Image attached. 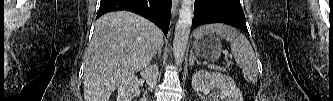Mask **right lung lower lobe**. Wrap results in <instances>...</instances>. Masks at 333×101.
I'll list each match as a JSON object with an SVG mask.
<instances>
[{
  "instance_id": "obj_1",
  "label": "right lung lower lobe",
  "mask_w": 333,
  "mask_h": 101,
  "mask_svg": "<svg viewBox=\"0 0 333 101\" xmlns=\"http://www.w3.org/2000/svg\"><path fill=\"white\" fill-rule=\"evenodd\" d=\"M125 10L139 14L156 24L167 36L171 0H101L97 18L107 12Z\"/></svg>"
}]
</instances>
